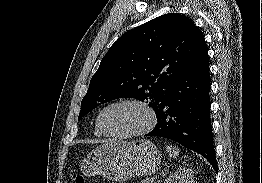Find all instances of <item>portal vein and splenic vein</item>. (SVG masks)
Listing matches in <instances>:
<instances>
[{
    "mask_svg": "<svg viewBox=\"0 0 262 183\" xmlns=\"http://www.w3.org/2000/svg\"><path fill=\"white\" fill-rule=\"evenodd\" d=\"M154 179H151V183H153Z\"/></svg>",
    "mask_w": 262,
    "mask_h": 183,
    "instance_id": "obj_1",
    "label": "portal vein and splenic vein"
}]
</instances>
